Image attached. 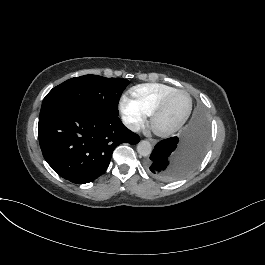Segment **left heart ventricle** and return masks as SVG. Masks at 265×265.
Instances as JSON below:
<instances>
[{
	"label": "left heart ventricle",
	"instance_id": "b2bd125f",
	"mask_svg": "<svg viewBox=\"0 0 265 265\" xmlns=\"http://www.w3.org/2000/svg\"><path fill=\"white\" fill-rule=\"evenodd\" d=\"M188 105V99L183 93L173 95L165 104L161 115L160 125L171 126L178 122L184 115Z\"/></svg>",
	"mask_w": 265,
	"mask_h": 265
}]
</instances>
